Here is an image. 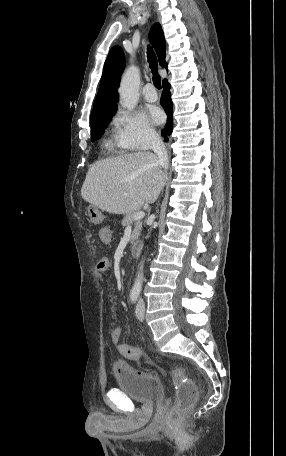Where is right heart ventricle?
I'll return each instance as SVG.
<instances>
[{"label": "right heart ventricle", "instance_id": "e07e8e85", "mask_svg": "<svg viewBox=\"0 0 286 456\" xmlns=\"http://www.w3.org/2000/svg\"><path fill=\"white\" fill-rule=\"evenodd\" d=\"M103 145L105 150L110 154L123 153L129 150V148L121 143L116 135V132L112 135L107 136L104 140Z\"/></svg>", "mask_w": 286, "mask_h": 456}]
</instances>
